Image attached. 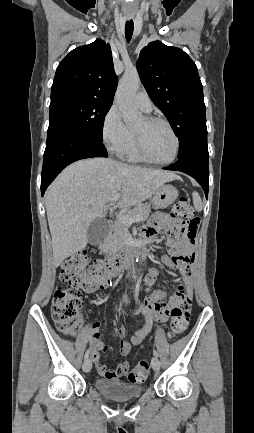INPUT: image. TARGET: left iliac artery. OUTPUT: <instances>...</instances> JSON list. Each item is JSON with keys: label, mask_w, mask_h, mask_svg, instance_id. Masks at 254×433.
<instances>
[{"label": "left iliac artery", "mask_w": 254, "mask_h": 433, "mask_svg": "<svg viewBox=\"0 0 254 433\" xmlns=\"http://www.w3.org/2000/svg\"><path fill=\"white\" fill-rule=\"evenodd\" d=\"M153 354H154L155 357H158V356H159L157 350H155V349L153 350Z\"/></svg>", "instance_id": "44dca946"}]
</instances>
